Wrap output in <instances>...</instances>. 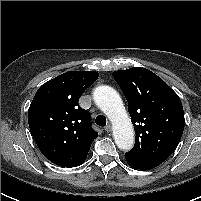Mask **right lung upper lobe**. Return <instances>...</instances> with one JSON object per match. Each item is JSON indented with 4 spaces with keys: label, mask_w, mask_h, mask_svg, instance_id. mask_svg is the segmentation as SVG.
Instances as JSON below:
<instances>
[{
    "label": "right lung upper lobe",
    "mask_w": 201,
    "mask_h": 201,
    "mask_svg": "<svg viewBox=\"0 0 201 201\" xmlns=\"http://www.w3.org/2000/svg\"><path fill=\"white\" fill-rule=\"evenodd\" d=\"M98 76L95 71H68L44 83L31 102V134L44 156L56 165H81L98 136L91 128L89 113L78 104Z\"/></svg>",
    "instance_id": "cb5924a9"
}]
</instances>
